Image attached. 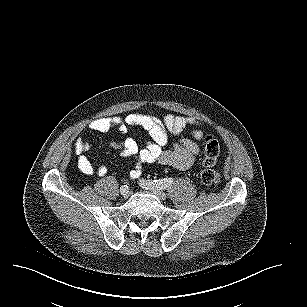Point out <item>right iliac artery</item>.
Returning a JSON list of instances; mask_svg holds the SVG:
<instances>
[{
  "mask_svg": "<svg viewBox=\"0 0 307 307\" xmlns=\"http://www.w3.org/2000/svg\"><path fill=\"white\" fill-rule=\"evenodd\" d=\"M121 187H123V188L127 187V188H128V186H127V185H124V186H121ZM121 187H120V189H121Z\"/></svg>",
  "mask_w": 307,
  "mask_h": 307,
  "instance_id": "82829eb1",
  "label": "right iliac artery"
}]
</instances>
